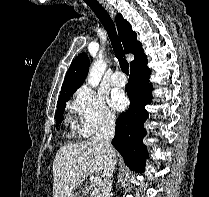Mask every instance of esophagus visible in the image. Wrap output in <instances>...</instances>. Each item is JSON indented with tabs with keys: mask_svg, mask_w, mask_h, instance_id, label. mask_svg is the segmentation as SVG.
<instances>
[{
	"mask_svg": "<svg viewBox=\"0 0 209 197\" xmlns=\"http://www.w3.org/2000/svg\"><path fill=\"white\" fill-rule=\"evenodd\" d=\"M100 3L104 6V8L111 14V16H115V11L114 8L112 7V5H110L109 3H107L104 0H100Z\"/></svg>",
	"mask_w": 209,
	"mask_h": 197,
	"instance_id": "obj_1",
	"label": "esophagus"
}]
</instances>
